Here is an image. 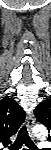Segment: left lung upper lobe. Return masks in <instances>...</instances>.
<instances>
[{"label":"left lung upper lobe","mask_w":51,"mask_h":150,"mask_svg":"<svg viewBox=\"0 0 51 150\" xmlns=\"http://www.w3.org/2000/svg\"><path fill=\"white\" fill-rule=\"evenodd\" d=\"M37 120L45 125L49 130L51 129V100H44L34 111Z\"/></svg>","instance_id":"obj_1"}]
</instances>
